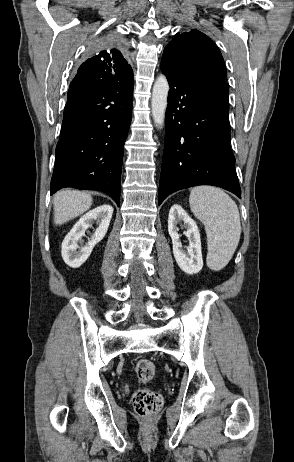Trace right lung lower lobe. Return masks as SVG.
<instances>
[{
    "label": "right lung lower lobe",
    "mask_w": 294,
    "mask_h": 462,
    "mask_svg": "<svg viewBox=\"0 0 294 462\" xmlns=\"http://www.w3.org/2000/svg\"><path fill=\"white\" fill-rule=\"evenodd\" d=\"M132 94L133 74L110 87L67 95L51 195L63 187L98 190L119 206Z\"/></svg>",
    "instance_id": "right-lung-lower-lobe-1"
}]
</instances>
